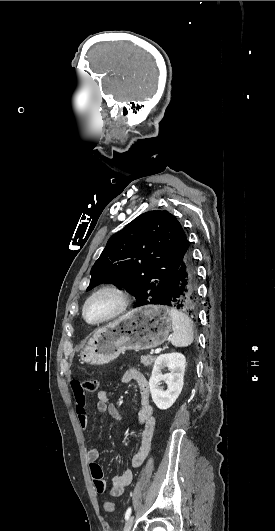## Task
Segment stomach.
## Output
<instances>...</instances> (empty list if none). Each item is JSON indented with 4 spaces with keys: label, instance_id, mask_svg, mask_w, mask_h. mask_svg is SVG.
Segmentation results:
<instances>
[{
    "label": "stomach",
    "instance_id": "0dacf381",
    "mask_svg": "<svg viewBox=\"0 0 275 531\" xmlns=\"http://www.w3.org/2000/svg\"><path fill=\"white\" fill-rule=\"evenodd\" d=\"M171 327L166 301H141L139 309L97 329L79 357L88 365H105L123 351L155 349L166 341Z\"/></svg>",
    "mask_w": 275,
    "mask_h": 531
}]
</instances>
